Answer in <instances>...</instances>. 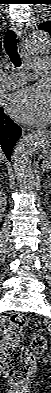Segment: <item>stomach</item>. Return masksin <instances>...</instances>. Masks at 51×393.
Wrapping results in <instances>:
<instances>
[{
	"mask_svg": "<svg viewBox=\"0 0 51 393\" xmlns=\"http://www.w3.org/2000/svg\"><path fill=\"white\" fill-rule=\"evenodd\" d=\"M40 157L42 158V160L44 161V162H51V150L48 148V149H44L42 152H41V155H40Z\"/></svg>",
	"mask_w": 51,
	"mask_h": 393,
	"instance_id": "1",
	"label": "stomach"
}]
</instances>
